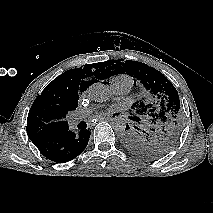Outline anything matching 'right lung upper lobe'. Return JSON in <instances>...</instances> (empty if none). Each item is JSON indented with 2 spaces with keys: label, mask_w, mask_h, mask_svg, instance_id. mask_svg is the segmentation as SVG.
Instances as JSON below:
<instances>
[{
  "label": "right lung upper lobe",
  "mask_w": 213,
  "mask_h": 213,
  "mask_svg": "<svg viewBox=\"0 0 213 213\" xmlns=\"http://www.w3.org/2000/svg\"><path fill=\"white\" fill-rule=\"evenodd\" d=\"M104 74L98 70L97 63L87 64L77 69H70L56 77L39 95L28 114L27 134L32 140L37 137L51 136L69 129L68 123L62 117L58 126L47 134H42L36 128V119L50 108L68 109L72 111L78 106L79 95L90 85L103 79Z\"/></svg>",
  "instance_id": "1"
}]
</instances>
